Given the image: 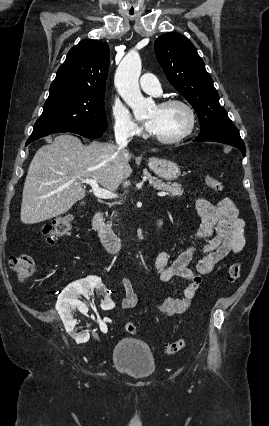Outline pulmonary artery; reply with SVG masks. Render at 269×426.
<instances>
[{
  "label": "pulmonary artery",
  "instance_id": "e3ab8cb5",
  "mask_svg": "<svg viewBox=\"0 0 269 426\" xmlns=\"http://www.w3.org/2000/svg\"><path fill=\"white\" fill-rule=\"evenodd\" d=\"M142 90L152 94H159L161 91L160 82L158 78L152 73H145L139 80Z\"/></svg>",
  "mask_w": 269,
  "mask_h": 426
}]
</instances>
